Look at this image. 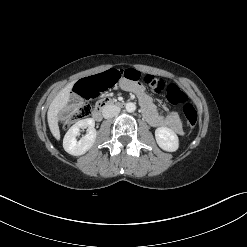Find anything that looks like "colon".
I'll use <instances>...</instances> for the list:
<instances>
[{
	"label": "colon",
	"instance_id": "1",
	"mask_svg": "<svg viewBox=\"0 0 247 247\" xmlns=\"http://www.w3.org/2000/svg\"><path fill=\"white\" fill-rule=\"evenodd\" d=\"M122 77L130 81L139 82L140 73L135 69L120 71L108 69L93 76L85 75L78 79L74 85V92L78 98L85 101L71 104L67 116L62 120V126L67 128L72 123L88 117L91 113V106L88 100L94 98L98 93H105L119 88L122 83ZM144 80L151 90L157 94L166 90L167 99L171 104H183L182 112L188 127L191 129L196 125L197 111L192 104L187 103L186 94L178 86L175 84L166 85L162 79L150 75L145 76Z\"/></svg>",
	"mask_w": 247,
	"mask_h": 247
}]
</instances>
